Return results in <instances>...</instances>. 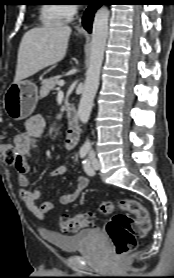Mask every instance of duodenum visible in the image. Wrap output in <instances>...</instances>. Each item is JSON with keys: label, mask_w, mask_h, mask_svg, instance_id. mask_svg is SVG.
I'll return each instance as SVG.
<instances>
[{"label": "duodenum", "mask_w": 174, "mask_h": 278, "mask_svg": "<svg viewBox=\"0 0 174 278\" xmlns=\"http://www.w3.org/2000/svg\"><path fill=\"white\" fill-rule=\"evenodd\" d=\"M66 118L68 122L67 129V143L72 144L77 141L79 137V119L75 108L69 106L66 109Z\"/></svg>", "instance_id": "410a0bca"}]
</instances>
